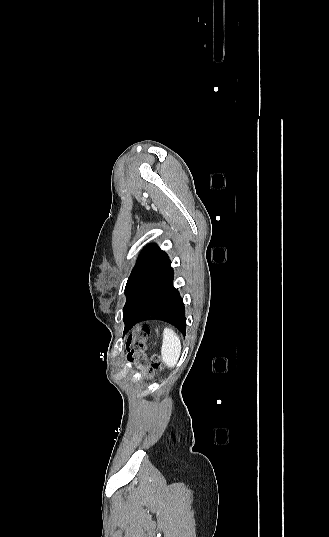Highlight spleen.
I'll list each match as a JSON object with an SVG mask.
<instances>
[{"label":"spleen","instance_id":"1","mask_svg":"<svg viewBox=\"0 0 329 537\" xmlns=\"http://www.w3.org/2000/svg\"><path fill=\"white\" fill-rule=\"evenodd\" d=\"M181 341L178 335L170 328H166L163 333L161 354L163 361L169 367H174L180 357Z\"/></svg>","mask_w":329,"mask_h":537}]
</instances>
